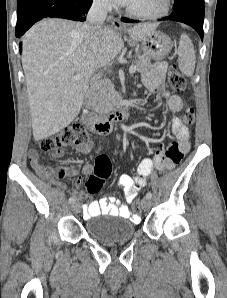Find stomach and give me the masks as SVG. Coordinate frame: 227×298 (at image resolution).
Instances as JSON below:
<instances>
[{
  "label": "stomach",
  "instance_id": "0dacf381",
  "mask_svg": "<svg viewBox=\"0 0 227 298\" xmlns=\"http://www.w3.org/2000/svg\"><path fill=\"white\" fill-rule=\"evenodd\" d=\"M145 54L154 60H163L172 49L170 38L161 31L151 32L141 41Z\"/></svg>",
  "mask_w": 227,
  "mask_h": 298
}]
</instances>
